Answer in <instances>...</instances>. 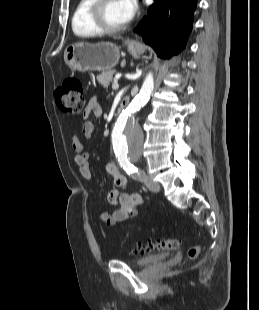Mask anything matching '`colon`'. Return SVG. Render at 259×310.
<instances>
[{"mask_svg": "<svg viewBox=\"0 0 259 310\" xmlns=\"http://www.w3.org/2000/svg\"><path fill=\"white\" fill-rule=\"evenodd\" d=\"M56 104L66 113L78 114L84 110V96L81 82L76 78H67L55 93ZM181 239H167L155 242H137L135 253L149 254L176 250L182 246ZM200 248L193 246L188 250V257L194 260L198 257Z\"/></svg>", "mask_w": 259, "mask_h": 310, "instance_id": "obj_1", "label": "colon"}]
</instances>
